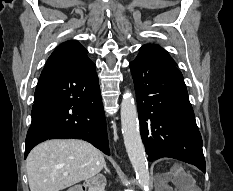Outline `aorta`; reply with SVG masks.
<instances>
[{"instance_id":"1","label":"aorta","mask_w":233,"mask_h":191,"mask_svg":"<svg viewBox=\"0 0 233 191\" xmlns=\"http://www.w3.org/2000/svg\"><path fill=\"white\" fill-rule=\"evenodd\" d=\"M121 125L124 144L136 178L143 191H149L150 176L145 149L139 131V122L134 98L129 90L121 103Z\"/></svg>"}]
</instances>
